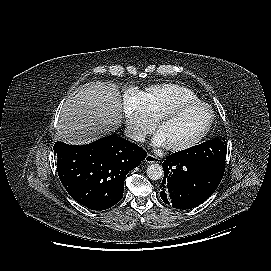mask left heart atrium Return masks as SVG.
<instances>
[{
	"mask_svg": "<svg viewBox=\"0 0 271 271\" xmlns=\"http://www.w3.org/2000/svg\"><path fill=\"white\" fill-rule=\"evenodd\" d=\"M153 144L155 146H158V147H165L166 146V143L164 141V138L163 136L157 132L153 138Z\"/></svg>",
	"mask_w": 271,
	"mask_h": 271,
	"instance_id": "39dd6f15",
	"label": "left heart atrium"
}]
</instances>
